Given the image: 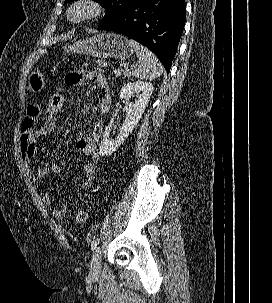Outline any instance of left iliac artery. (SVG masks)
<instances>
[{
	"label": "left iliac artery",
	"instance_id": "left-iliac-artery-1",
	"mask_svg": "<svg viewBox=\"0 0 272 303\" xmlns=\"http://www.w3.org/2000/svg\"><path fill=\"white\" fill-rule=\"evenodd\" d=\"M98 243H99V238L98 237L94 238V240L91 242V250H94Z\"/></svg>",
	"mask_w": 272,
	"mask_h": 303
}]
</instances>
